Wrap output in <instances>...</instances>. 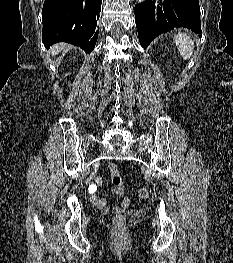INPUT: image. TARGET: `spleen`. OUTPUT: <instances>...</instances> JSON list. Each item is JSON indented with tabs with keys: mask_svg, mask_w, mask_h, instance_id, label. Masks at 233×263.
<instances>
[{
	"mask_svg": "<svg viewBox=\"0 0 233 263\" xmlns=\"http://www.w3.org/2000/svg\"><path fill=\"white\" fill-rule=\"evenodd\" d=\"M174 42L184 60H189L194 50V42L190 36L179 33L175 35Z\"/></svg>",
	"mask_w": 233,
	"mask_h": 263,
	"instance_id": "3e777b00",
	"label": "spleen"
}]
</instances>
